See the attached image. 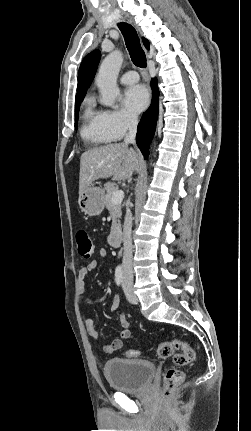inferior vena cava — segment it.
Instances as JSON below:
<instances>
[{"mask_svg": "<svg viewBox=\"0 0 251 431\" xmlns=\"http://www.w3.org/2000/svg\"><path fill=\"white\" fill-rule=\"evenodd\" d=\"M138 119L135 115H130L128 117V133L124 139L125 144L134 143L136 139ZM131 230H132V214L128 209L126 213V218L123 225V246H124V255L122 261V269H123V279L124 280H133V268H132V239H131Z\"/></svg>", "mask_w": 251, "mask_h": 431, "instance_id": "inferior-vena-cava-1", "label": "inferior vena cava"}]
</instances>
